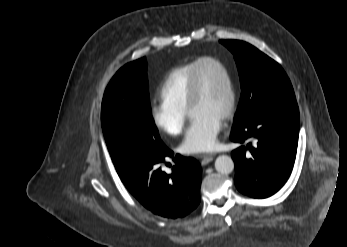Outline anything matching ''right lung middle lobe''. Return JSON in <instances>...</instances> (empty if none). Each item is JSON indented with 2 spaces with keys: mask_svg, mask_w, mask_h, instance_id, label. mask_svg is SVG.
Here are the masks:
<instances>
[{
  "mask_svg": "<svg viewBox=\"0 0 347 247\" xmlns=\"http://www.w3.org/2000/svg\"><path fill=\"white\" fill-rule=\"evenodd\" d=\"M145 57L122 67L107 86L101 108L105 141L114 161L133 147L163 149L149 101Z\"/></svg>",
  "mask_w": 347,
  "mask_h": 247,
  "instance_id": "1",
  "label": "right lung middle lobe"
}]
</instances>
